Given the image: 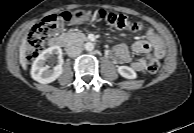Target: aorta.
I'll return each instance as SVG.
<instances>
[{
	"label": "aorta",
	"instance_id": "aorta-1",
	"mask_svg": "<svg viewBox=\"0 0 194 133\" xmlns=\"http://www.w3.org/2000/svg\"><path fill=\"white\" fill-rule=\"evenodd\" d=\"M84 48H85L86 51H92L94 49V44L92 42H87L84 45Z\"/></svg>",
	"mask_w": 194,
	"mask_h": 133
}]
</instances>
